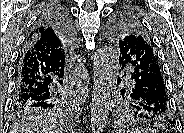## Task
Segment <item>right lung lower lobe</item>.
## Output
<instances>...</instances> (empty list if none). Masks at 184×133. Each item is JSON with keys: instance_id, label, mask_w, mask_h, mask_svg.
Returning a JSON list of instances; mask_svg holds the SVG:
<instances>
[{"instance_id": "1", "label": "right lung lower lobe", "mask_w": 184, "mask_h": 133, "mask_svg": "<svg viewBox=\"0 0 184 133\" xmlns=\"http://www.w3.org/2000/svg\"><path fill=\"white\" fill-rule=\"evenodd\" d=\"M39 23L56 26L66 37L72 38V23L63 10H52L44 15ZM67 51L60 54H47L37 49L34 42L24 45L16 68L14 92L15 105H42L54 98L64 97Z\"/></svg>"}]
</instances>
